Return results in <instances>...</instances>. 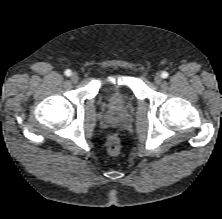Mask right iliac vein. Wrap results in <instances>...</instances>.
<instances>
[{"label":"right iliac vein","mask_w":222,"mask_h":219,"mask_svg":"<svg viewBox=\"0 0 222 219\" xmlns=\"http://www.w3.org/2000/svg\"><path fill=\"white\" fill-rule=\"evenodd\" d=\"M70 79H71L72 82L76 83L79 80V75L76 72H74V73L71 74Z\"/></svg>","instance_id":"1"}]
</instances>
